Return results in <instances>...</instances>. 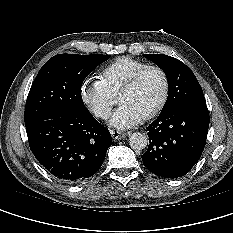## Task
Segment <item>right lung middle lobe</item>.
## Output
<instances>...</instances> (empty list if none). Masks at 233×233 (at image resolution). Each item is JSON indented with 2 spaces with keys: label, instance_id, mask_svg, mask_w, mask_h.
Segmentation results:
<instances>
[{
  "label": "right lung middle lobe",
  "instance_id": "dd1d6c3e",
  "mask_svg": "<svg viewBox=\"0 0 233 233\" xmlns=\"http://www.w3.org/2000/svg\"><path fill=\"white\" fill-rule=\"evenodd\" d=\"M110 55L58 54L40 69L29 91L25 126L85 110L81 86L90 72Z\"/></svg>",
  "mask_w": 233,
  "mask_h": 233
}]
</instances>
